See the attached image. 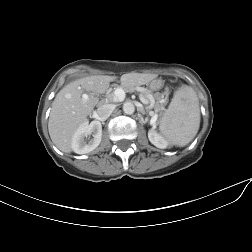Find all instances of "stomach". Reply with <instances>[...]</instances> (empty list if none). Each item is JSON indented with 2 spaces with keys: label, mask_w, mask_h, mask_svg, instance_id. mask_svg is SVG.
Here are the masks:
<instances>
[{
  "label": "stomach",
  "mask_w": 252,
  "mask_h": 252,
  "mask_svg": "<svg viewBox=\"0 0 252 252\" xmlns=\"http://www.w3.org/2000/svg\"><path fill=\"white\" fill-rule=\"evenodd\" d=\"M149 87L151 90H159L163 87V82L159 79L152 80Z\"/></svg>",
  "instance_id": "0dacf381"
}]
</instances>
